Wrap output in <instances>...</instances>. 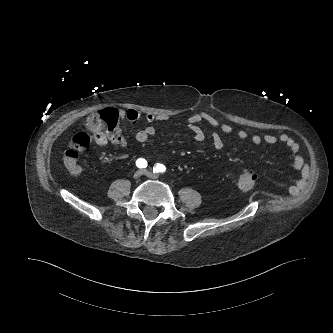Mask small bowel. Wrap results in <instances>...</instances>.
<instances>
[{
  "instance_id": "obj_1",
  "label": "small bowel",
  "mask_w": 333,
  "mask_h": 333,
  "mask_svg": "<svg viewBox=\"0 0 333 333\" xmlns=\"http://www.w3.org/2000/svg\"><path fill=\"white\" fill-rule=\"evenodd\" d=\"M121 116L131 122H138L140 120H144L148 123L146 127L138 131L135 135L136 141L141 144L147 142L150 137L156 134V128L153 126L154 122L157 121L166 122L168 120V117L164 114H154V113L142 114L140 111L135 109H129L123 111L121 113ZM201 123H207L213 128V131L211 132V141L213 148L217 151H220L224 148V139L222 135L223 134L230 135L234 133V129L231 125L227 123H221L215 117L205 112L192 114L189 117H187L184 121L178 122L177 124L190 129L191 138L194 141L202 142L205 139V133L199 127ZM236 136L240 140H246L249 138V135L245 130H238L236 132ZM250 140L256 146H259L262 143H266L268 145H274L276 143L284 144L292 154L294 167L296 169L302 170L303 175H305L306 164L304 162V158L301 153L300 145L295 139H293L287 133H279L277 135L270 133H266L263 135L254 134L250 137ZM109 142L118 145L122 148L129 147L127 140L123 137L119 128H117L116 134L110 136L109 138H107L105 135H100L96 139V144L100 148H105L109 144ZM249 172L252 173L256 179L255 173L251 171ZM302 183L303 181L300 180L297 184L292 186V190L296 191L299 185H301Z\"/></svg>"
}]
</instances>
